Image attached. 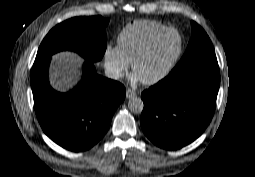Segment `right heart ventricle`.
Masks as SVG:
<instances>
[{
  "label": "right heart ventricle",
  "instance_id": "e07e8e85",
  "mask_svg": "<svg viewBox=\"0 0 255 177\" xmlns=\"http://www.w3.org/2000/svg\"><path fill=\"white\" fill-rule=\"evenodd\" d=\"M166 27L165 24L150 20H136L128 23L118 35V45L128 62L131 63L134 60L153 34Z\"/></svg>",
  "mask_w": 255,
  "mask_h": 177
}]
</instances>
